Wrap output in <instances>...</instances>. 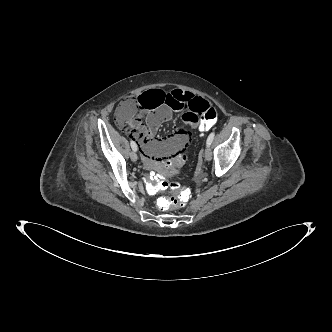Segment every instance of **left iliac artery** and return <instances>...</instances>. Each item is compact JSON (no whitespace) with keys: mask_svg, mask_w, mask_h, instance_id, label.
<instances>
[{"mask_svg":"<svg viewBox=\"0 0 332 332\" xmlns=\"http://www.w3.org/2000/svg\"><path fill=\"white\" fill-rule=\"evenodd\" d=\"M214 136H215V133H214V132L210 133V135L208 136L207 141H206L207 146H210V145H211V143H212V141H213V139H214Z\"/></svg>","mask_w":332,"mask_h":332,"instance_id":"left-iliac-artery-1","label":"left iliac artery"}]
</instances>
